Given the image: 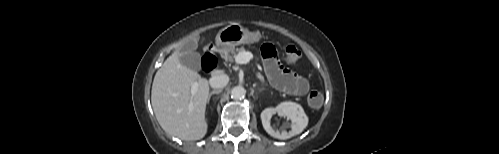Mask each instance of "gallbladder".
Here are the masks:
<instances>
[{
    "instance_id": "gallbladder-1",
    "label": "gallbladder",
    "mask_w": 499,
    "mask_h": 154,
    "mask_svg": "<svg viewBox=\"0 0 499 154\" xmlns=\"http://www.w3.org/2000/svg\"><path fill=\"white\" fill-rule=\"evenodd\" d=\"M197 47L198 41L196 39H189L185 42L182 52L179 55L181 64L194 71H198L201 66L200 54L195 51Z\"/></svg>"
}]
</instances>
